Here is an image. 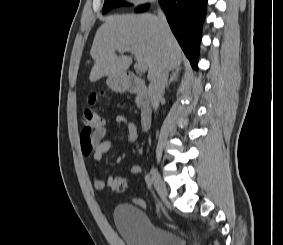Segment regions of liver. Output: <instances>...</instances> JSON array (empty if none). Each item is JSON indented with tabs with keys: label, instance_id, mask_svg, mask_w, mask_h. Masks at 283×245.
<instances>
[{
	"label": "liver",
	"instance_id": "1",
	"mask_svg": "<svg viewBox=\"0 0 283 245\" xmlns=\"http://www.w3.org/2000/svg\"><path fill=\"white\" fill-rule=\"evenodd\" d=\"M138 54L148 67L151 81L163 62L170 69L179 68L182 50L171 31L164 32L158 17L152 14L113 15L105 19L94 37L90 55L94 66L91 82L103 76L123 77L132 63L128 56L115 53Z\"/></svg>",
	"mask_w": 283,
	"mask_h": 245
}]
</instances>
